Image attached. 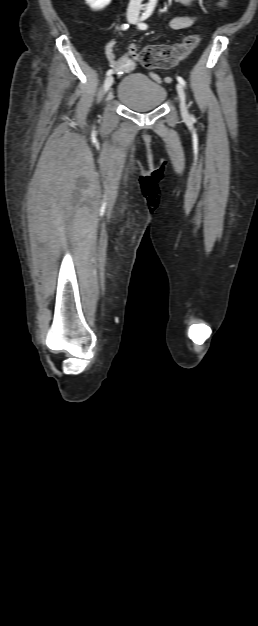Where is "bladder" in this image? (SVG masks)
I'll return each instance as SVG.
<instances>
[{
  "instance_id": "obj_1",
  "label": "bladder",
  "mask_w": 258,
  "mask_h": 626,
  "mask_svg": "<svg viewBox=\"0 0 258 626\" xmlns=\"http://www.w3.org/2000/svg\"><path fill=\"white\" fill-rule=\"evenodd\" d=\"M117 99L131 111L144 113L155 110L166 100V89L145 75L123 78L117 87Z\"/></svg>"
}]
</instances>
